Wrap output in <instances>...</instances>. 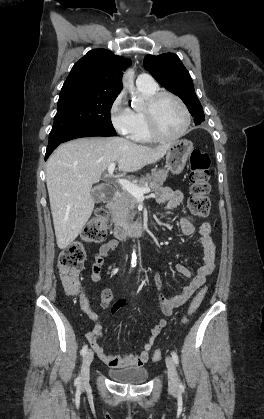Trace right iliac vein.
<instances>
[{"label":"right iliac vein","instance_id":"right-iliac-vein-1","mask_svg":"<svg viewBox=\"0 0 264 419\" xmlns=\"http://www.w3.org/2000/svg\"><path fill=\"white\" fill-rule=\"evenodd\" d=\"M93 360V352L88 351L83 359L82 368H81V384L86 385L89 381L90 375V364Z\"/></svg>","mask_w":264,"mask_h":419}]
</instances>
